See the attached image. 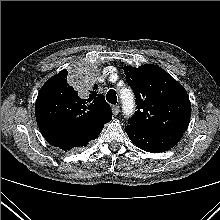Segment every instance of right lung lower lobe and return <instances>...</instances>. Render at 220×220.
I'll list each match as a JSON object with an SVG mask.
<instances>
[{
	"label": "right lung lower lobe",
	"instance_id": "obj_1",
	"mask_svg": "<svg viewBox=\"0 0 220 220\" xmlns=\"http://www.w3.org/2000/svg\"><path fill=\"white\" fill-rule=\"evenodd\" d=\"M104 124H105L104 122L99 123L87 133L80 135L76 138H73L69 141L63 142L61 144L53 145V146L61 148L65 151L70 150L72 148H76V147L86 146L89 141L94 140L101 133L102 129L104 128Z\"/></svg>",
	"mask_w": 220,
	"mask_h": 220
}]
</instances>
